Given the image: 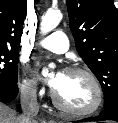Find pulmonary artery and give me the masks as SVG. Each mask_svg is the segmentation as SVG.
Returning a JSON list of instances; mask_svg holds the SVG:
<instances>
[{"label":"pulmonary artery","instance_id":"pulmonary-artery-1","mask_svg":"<svg viewBox=\"0 0 118 123\" xmlns=\"http://www.w3.org/2000/svg\"><path fill=\"white\" fill-rule=\"evenodd\" d=\"M40 46L54 53L62 54L69 48V41L62 31H55L39 42Z\"/></svg>","mask_w":118,"mask_h":123}]
</instances>
